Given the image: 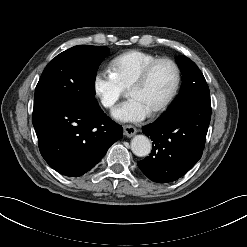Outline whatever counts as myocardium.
Here are the masks:
<instances>
[{"label":"myocardium","mask_w":247,"mask_h":247,"mask_svg":"<svg viewBox=\"0 0 247 247\" xmlns=\"http://www.w3.org/2000/svg\"><path fill=\"white\" fill-rule=\"evenodd\" d=\"M162 63H167L173 68L175 74L174 83L168 95L163 99L161 103H159L151 110V113H158L164 110L175 98L181 83V72L177 63L170 58H158L152 61L151 63H149L128 87V93H129L131 90L144 85L147 82L152 71L155 69V67Z\"/></svg>","instance_id":"myocardium-1"}]
</instances>
